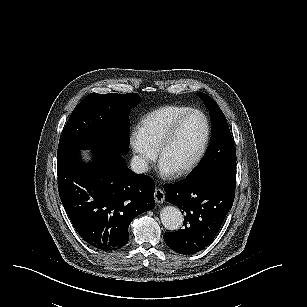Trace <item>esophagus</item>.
Returning <instances> with one entry per match:
<instances>
[{"label": "esophagus", "mask_w": 307, "mask_h": 307, "mask_svg": "<svg viewBox=\"0 0 307 307\" xmlns=\"http://www.w3.org/2000/svg\"><path fill=\"white\" fill-rule=\"evenodd\" d=\"M154 196L157 203H162L165 199V194L160 188L155 189Z\"/></svg>", "instance_id": "1"}]
</instances>
